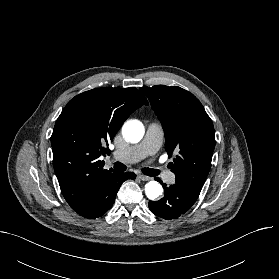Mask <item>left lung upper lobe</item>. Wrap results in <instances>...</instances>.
<instances>
[{"label": "left lung upper lobe", "mask_w": 279, "mask_h": 279, "mask_svg": "<svg viewBox=\"0 0 279 279\" xmlns=\"http://www.w3.org/2000/svg\"><path fill=\"white\" fill-rule=\"evenodd\" d=\"M165 133L169 164L176 183L201 191L211 167L215 147L214 127L200 101L190 92L177 87L157 85L142 87Z\"/></svg>", "instance_id": "1"}]
</instances>
